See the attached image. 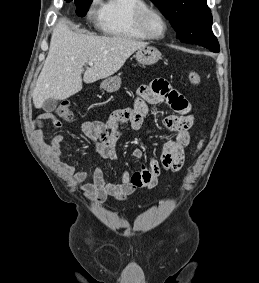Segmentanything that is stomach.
<instances>
[{
  "label": "stomach",
  "instance_id": "obj_1",
  "mask_svg": "<svg viewBox=\"0 0 259 283\" xmlns=\"http://www.w3.org/2000/svg\"><path fill=\"white\" fill-rule=\"evenodd\" d=\"M135 57L142 65H153L161 58V53L155 47L146 46L138 49ZM120 86L121 78L119 76L108 77L100 85L103 90L109 93L118 91Z\"/></svg>",
  "mask_w": 259,
  "mask_h": 283
}]
</instances>
